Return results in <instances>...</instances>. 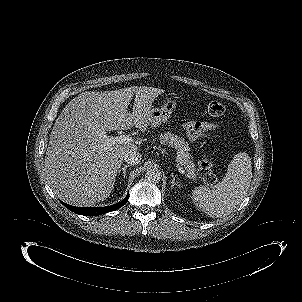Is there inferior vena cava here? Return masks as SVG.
<instances>
[{
	"mask_svg": "<svg viewBox=\"0 0 302 302\" xmlns=\"http://www.w3.org/2000/svg\"><path fill=\"white\" fill-rule=\"evenodd\" d=\"M123 160L130 165H136L141 161V154L137 150H128L123 155Z\"/></svg>",
	"mask_w": 302,
	"mask_h": 302,
	"instance_id": "602c4592",
	"label": "inferior vena cava"
}]
</instances>
